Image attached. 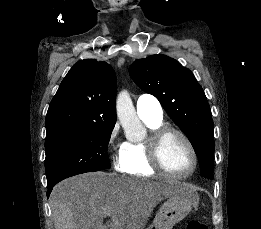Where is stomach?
Instances as JSON below:
<instances>
[{"label":"stomach","mask_w":261,"mask_h":229,"mask_svg":"<svg viewBox=\"0 0 261 229\" xmlns=\"http://www.w3.org/2000/svg\"><path fill=\"white\" fill-rule=\"evenodd\" d=\"M176 191H181L179 195H172L168 201L160 207L151 227L148 229H173L176 223H180L192 211L198 201V195L192 185L184 181H174L170 183Z\"/></svg>","instance_id":"obj_1"}]
</instances>
